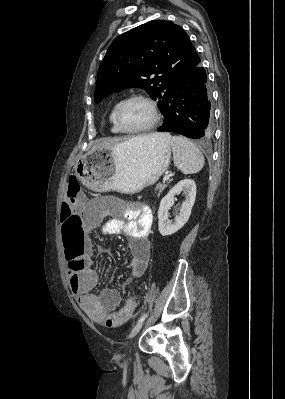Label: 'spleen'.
I'll list each match as a JSON object with an SVG mask.
<instances>
[{"label":"spleen","instance_id":"obj_1","mask_svg":"<svg viewBox=\"0 0 285 399\" xmlns=\"http://www.w3.org/2000/svg\"><path fill=\"white\" fill-rule=\"evenodd\" d=\"M174 165L184 174L198 173L204 166L205 159L200 149L186 137H171Z\"/></svg>","mask_w":285,"mask_h":399}]
</instances>
